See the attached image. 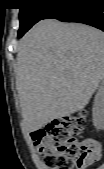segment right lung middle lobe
I'll return each instance as SVG.
<instances>
[{
    "label": "right lung middle lobe",
    "mask_w": 104,
    "mask_h": 169,
    "mask_svg": "<svg viewBox=\"0 0 104 169\" xmlns=\"http://www.w3.org/2000/svg\"><path fill=\"white\" fill-rule=\"evenodd\" d=\"M20 28L18 37H22L35 23L45 17L58 5V0H20Z\"/></svg>",
    "instance_id": "obj_1"
}]
</instances>
